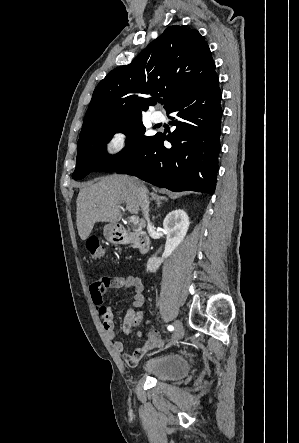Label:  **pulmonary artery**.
<instances>
[{"instance_id":"pulmonary-artery-1","label":"pulmonary artery","mask_w":299,"mask_h":443,"mask_svg":"<svg viewBox=\"0 0 299 443\" xmlns=\"http://www.w3.org/2000/svg\"><path fill=\"white\" fill-rule=\"evenodd\" d=\"M151 120L155 123H159L163 120V114L159 111H155L151 114Z\"/></svg>"}]
</instances>
